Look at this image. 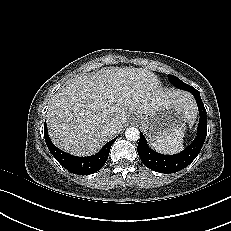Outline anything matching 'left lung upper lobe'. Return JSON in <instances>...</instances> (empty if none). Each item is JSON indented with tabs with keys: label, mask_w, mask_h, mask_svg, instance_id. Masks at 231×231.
<instances>
[{
	"label": "left lung upper lobe",
	"mask_w": 231,
	"mask_h": 231,
	"mask_svg": "<svg viewBox=\"0 0 231 231\" xmlns=\"http://www.w3.org/2000/svg\"><path fill=\"white\" fill-rule=\"evenodd\" d=\"M168 79L175 87L180 88L182 90L189 91L192 88V86L184 83L176 76L168 75Z\"/></svg>",
	"instance_id": "left-lung-upper-lobe-1"
}]
</instances>
